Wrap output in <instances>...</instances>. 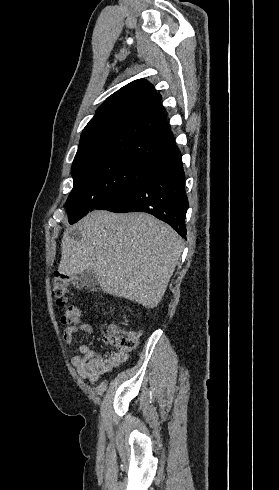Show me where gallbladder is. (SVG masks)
<instances>
[{"instance_id":"gallbladder-1","label":"gallbladder","mask_w":279,"mask_h":490,"mask_svg":"<svg viewBox=\"0 0 279 490\" xmlns=\"http://www.w3.org/2000/svg\"><path fill=\"white\" fill-rule=\"evenodd\" d=\"M78 282H80L81 286H86V288H95L96 284H98V278H96L93 270H85V272L79 274Z\"/></svg>"}]
</instances>
